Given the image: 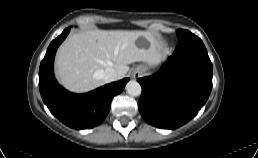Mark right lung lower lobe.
<instances>
[{
  "mask_svg": "<svg viewBox=\"0 0 258 158\" xmlns=\"http://www.w3.org/2000/svg\"><path fill=\"white\" fill-rule=\"evenodd\" d=\"M70 28L53 40L40 64L39 89L50 112L65 125L75 129L93 128L100 124L110 110L112 98L122 92L129 78L113 82L86 94H74L60 86L53 71L57 48Z\"/></svg>",
  "mask_w": 258,
  "mask_h": 158,
  "instance_id": "right-lung-lower-lobe-1",
  "label": "right lung lower lobe"
}]
</instances>
